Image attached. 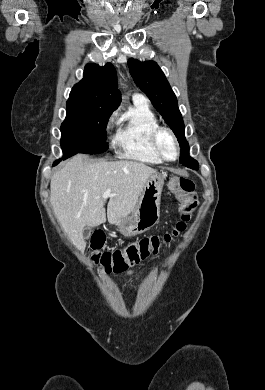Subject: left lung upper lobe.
Wrapping results in <instances>:
<instances>
[{
	"label": "left lung upper lobe",
	"instance_id": "obj_1",
	"mask_svg": "<svg viewBox=\"0 0 265 390\" xmlns=\"http://www.w3.org/2000/svg\"><path fill=\"white\" fill-rule=\"evenodd\" d=\"M130 74L136 85L148 96L155 109L176 135L181 147L179 161L184 166L197 170L198 162L189 156V145L184 135V122L178 102L164 73L154 61L128 60Z\"/></svg>",
	"mask_w": 265,
	"mask_h": 390
}]
</instances>
